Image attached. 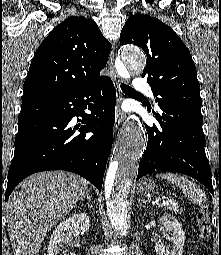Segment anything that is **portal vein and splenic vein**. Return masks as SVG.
<instances>
[{
    "mask_svg": "<svg viewBox=\"0 0 221 255\" xmlns=\"http://www.w3.org/2000/svg\"><path fill=\"white\" fill-rule=\"evenodd\" d=\"M168 201H163L162 204H166Z\"/></svg>",
    "mask_w": 221,
    "mask_h": 255,
    "instance_id": "1",
    "label": "portal vein and splenic vein"
}]
</instances>
